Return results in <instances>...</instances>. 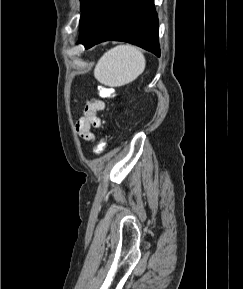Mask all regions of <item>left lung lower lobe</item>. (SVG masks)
Wrapping results in <instances>:
<instances>
[{"mask_svg": "<svg viewBox=\"0 0 243 289\" xmlns=\"http://www.w3.org/2000/svg\"><path fill=\"white\" fill-rule=\"evenodd\" d=\"M154 0H90L80 18V43L126 41L160 56Z\"/></svg>", "mask_w": 243, "mask_h": 289, "instance_id": "left-lung-lower-lobe-1", "label": "left lung lower lobe"}]
</instances>
